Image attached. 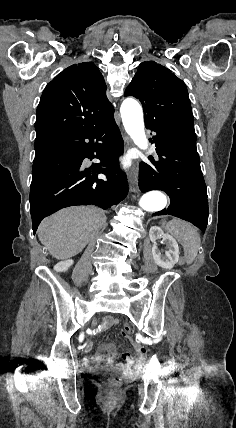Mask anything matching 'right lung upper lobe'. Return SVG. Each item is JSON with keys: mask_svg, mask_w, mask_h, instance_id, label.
I'll return each instance as SVG.
<instances>
[{"mask_svg": "<svg viewBox=\"0 0 236 428\" xmlns=\"http://www.w3.org/2000/svg\"><path fill=\"white\" fill-rule=\"evenodd\" d=\"M113 113L104 78L95 64H74L43 91L37 108L35 143L95 126Z\"/></svg>", "mask_w": 236, "mask_h": 428, "instance_id": "right-lung-upper-lobe-1", "label": "right lung upper lobe"}]
</instances>
